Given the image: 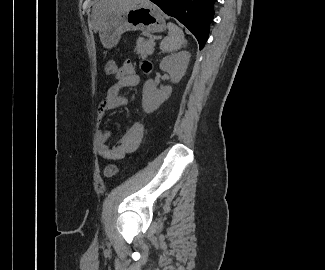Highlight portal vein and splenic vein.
Listing matches in <instances>:
<instances>
[{
	"label": "portal vein and splenic vein",
	"instance_id": "obj_1",
	"mask_svg": "<svg viewBox=\"0 0 325 270\" xmlns=\"http://www.w3.org/2000/svg\"><path fill=\"white\" fill-rule=\"evenodd\" d=\"M151 42L153 43V45H155V43H154V39H151Z\"/></svg>",
	"mask_w": 325,
	"mask_h": 270
}]
</instances>
